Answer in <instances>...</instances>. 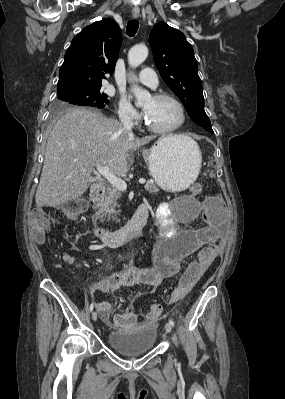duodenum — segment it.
<instances>
[{
	"instance_id": "1",
	"label": "duodenum",
	"mask_w": 285,
	"mask_h": 399,
	"mask_svg": "<svg viewBox=\"0 0 285 399\" xmlns=\"http://www.w3.org/2000/svg\"><path fill=\"white\" fill-rule=\"evenodd\" d=\"M104 187L94 185L90 191V200L93 204L99 203L104 195ZM148 218V210L140 205L135 211L132 219L124 227L117 230H107L97 227L94 235L96 238L109 245H120L140 237Z\"/></svg>"
}]
</instances>
